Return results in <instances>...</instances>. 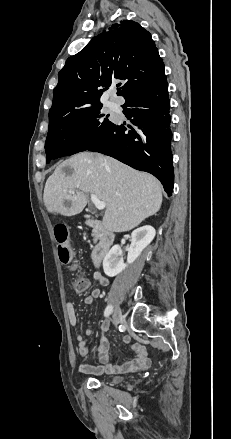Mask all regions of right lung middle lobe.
Returning <instances> with one entry per match:
<instances>
[{
  "instance_id": "right-lung-middle-lobe-1",
  "label": "right lung middle lobe",
  "mask_w": 231,
  "mask_h": 439,
  "mask_svg": "<svg viewBox=\"0 0 231 439\" xmlns=\"http://www.w3.org/2000/svg\"><path fill=\"white\" fill-rule=\"evenodd\" d=\"M102 105L49 122L45 142L46 163L85 151L114 125L101 113Z\"/></svg>"
}]
</instances>
